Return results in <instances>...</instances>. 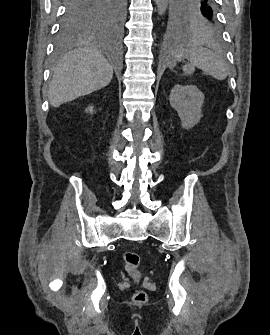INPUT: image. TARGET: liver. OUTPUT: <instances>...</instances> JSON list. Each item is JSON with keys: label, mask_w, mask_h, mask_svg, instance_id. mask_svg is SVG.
<instances>
[{"label": "liver", "mask_w": 270, "mask_h": 335, "mask_svg": "<svg viewBox=\"0 0 270 335\" xmlns=\"http://www.w3.org/2000/svg\"><path fill=\"white\" fill-rule=\"evenodd\" d=\"M112 78L113 68L98 48H77L57 64L49 84V102L59 108L65 102L105 88Z\"/></svg>", "instance_id": "6515ba94"}]
</instances>
